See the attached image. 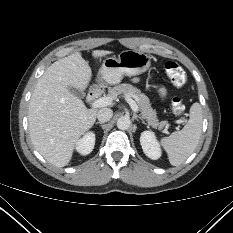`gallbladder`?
Wrapping results in <instances>:
<instances>
[{"instance_id":"gallbladder-1","label":"gallbladder","mask_w":233,"mask_h":233,"mask_svg":"<svg viewBox=\"0 0 233 233\" xmlns=\"http://www.w3.org/2000/svg\"><path fill=\"white\" fill-rule=\"evenodd\" d=\"M70 92L78 98H84L85 93L82 90L70 88Z\"/></svg>"}]
</instances>
